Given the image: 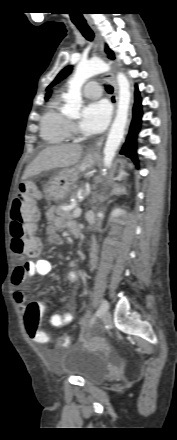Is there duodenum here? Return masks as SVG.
Wrapping results in <instances>:
<instances>
[{
  "instance_id": "1",
  "label": "duodenum",
  "mask_w": 177,
  "mask_h": 440,
  "mask_svg": "<svg viewBox=\"0 0 177 440\" xmlns=\"http://www.w3.org/2000/svg\"><path fill=\"white\" fill-rule=\"evenodd\" d=\"M72 233L76 238H79L82 234V229L78 226L75 225L74 227H72Z\"/></svg>"
}]
</instances>
